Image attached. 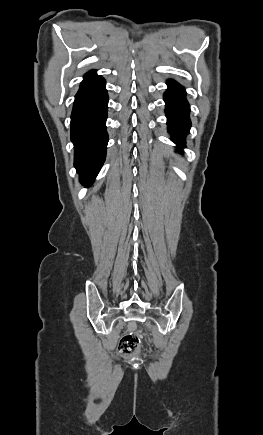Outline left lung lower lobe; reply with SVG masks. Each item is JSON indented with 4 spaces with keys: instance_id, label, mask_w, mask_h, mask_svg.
Wrapping results in <instances>:
<instances>
[{
    "instance_id": "1",
    "label": "left lung lower lobe",
    "mask_w": 263,
    "mask_h": 435,
    "mask_svg": "<svg viewBox=\"0 0 263 435\" xmlns=\"http://www.w3.org/2000/svg\"><path fill=\"white\" fill-rule=\"evenodd\" d=\"M168 90L164 95L168 130L172 141L179 147H184V137L191 127L189 120L190 106L185 98L184 88L174 80L168 81Z\"/></svg>"
}]
</instances>
